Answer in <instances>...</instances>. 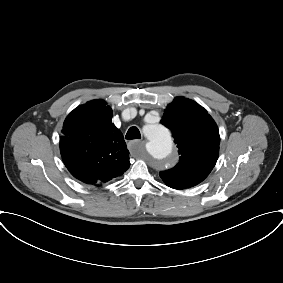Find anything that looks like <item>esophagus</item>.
I'll return each instance as SVG.
<instances>
[{"instance_id":"34e87169","label":"esophagus","mask_w":283,"mask_h":283,"mask_svg":"<svg viewBox=\"0 0 283 283\" xmlns=\"http://www.w3.org/2000/svg\"><path fill=\"white\" fill-rule=\"evenodd\" d=\"M143 143H144V141H139V140L130 141L128 143V148L130 150H135V149H138Z\"/></svg>"}]
</instances>
